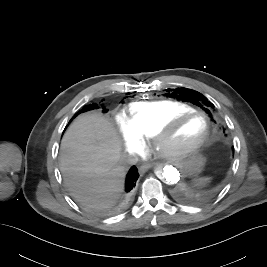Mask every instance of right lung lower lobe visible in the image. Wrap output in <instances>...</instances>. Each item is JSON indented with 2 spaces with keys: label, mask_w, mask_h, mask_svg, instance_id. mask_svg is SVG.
I'll return each instance as SVG.
<instances>
[{
  "label": "right lung lower lobe",
  "mask_w": 267,
  "mask_h": 267,
  "mask_svg": "<svg viewBox=\"0 0 267 267\" xmlns=\"http://www.w3.org/2000/svg\"><path fill=\"white\" fill-rule=\"evenodd\" d=\"M78 114L80 113H77L74 117H76ZM138 177H139V173H138L136 166H132L126 177V184H125L126 192H130L135 187Z\"/></svg>",
  "instance_id": "1"
}]
</instances>
